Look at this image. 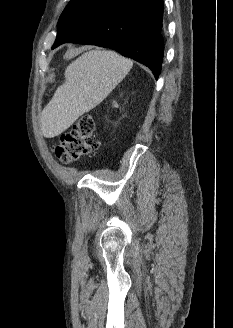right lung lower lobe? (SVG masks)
Returning <instances> with one entry per match:
<instances>
[{"label": "right lung lower lobe", "mask_w": 233, "mask_h": 328, "mask_svg": "<svg viewBox=\"0 0 233 328\" xmlns=\"http://www.w3.org/2000/svg\"><path fill=\"white\" fill-rule=\"evenodd\" d=\"M163 0H93L58 22L52 48L65 42L107 47L152 70L164 55Z\"/></svg>", "instance_id": "obj_1"}]
</instances>
